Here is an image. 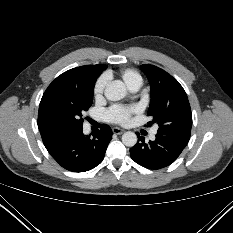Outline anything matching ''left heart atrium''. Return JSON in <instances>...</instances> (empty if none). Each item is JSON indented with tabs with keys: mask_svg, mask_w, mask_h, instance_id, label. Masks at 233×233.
Returning <instances> with one entry per match:
<instances>
[{
	"mask_svg": "<svg viewBox=\"0 0 233 233\" xmlns=\"http://www.w3.org/2000/svg\"><path fill=\"white\" fill-rule=\"evenodd\" d=\"M137 111L136 108H128L120 105H114L106 111V118L109 122L126 125L129 123L133 113Z\"/></svg>",
	"mask_w": 233,
	"mask_h": 233,
	"instance_id": "1",
	"label": "left heart atrium"
}]
</instances>
